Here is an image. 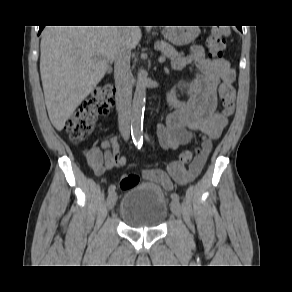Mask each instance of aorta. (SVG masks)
Segmentation results:
<instances>
[{"mask_svg": "<svg viewBox=\"0 0 292 292\" xmlns=\"http://www.w3.org/2000/svg\"><path fill=\"white\" fill-rule=\"evenodd\" d=\"M146 102V74L143 70L138 73L131 110V129L135 136L142 130Z\"/></svg>", "mask_w": 292, "mask_h": 292, "instance_id": "762f6f07", "label": "aorta"}]
</instances>
